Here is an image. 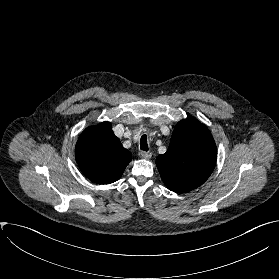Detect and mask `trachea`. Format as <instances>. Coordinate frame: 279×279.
Masks as SVG:
<instances>
[{
  "label": "trachea",
  "mask_w": 279,
  "mask_h": 279,
  "mask_svg": "<svg viewBox=\"0 0 279 279\" xmlns=\"http://www.w3.org/2000/svg\"><path fill=\"white\" fill-rule=\"evenodd\" d=\"M140 149L143 151H148L147 136L143 135L140 139Z\"/></svg>",
  "instance_id": "trachea-1"
}]
</instances>
